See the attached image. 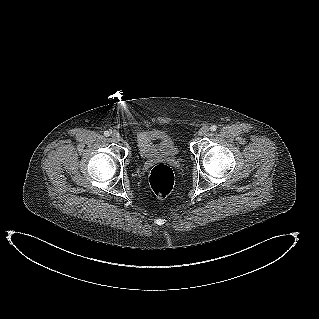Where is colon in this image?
Returning a JSON list of instances; mask_svg holds the SVG:
<instances>
[{
	"label": "colon",
	"instance_id": "5ec220e1",
	"mask_svg": "<svg viewBox=\"0 0 319 319\" xmlns=\"http://www.w3.org/2000/svg\"><path fill=\"white\" fill-rule=\"evenodd\" d=\"M174 179L173 170L165 164L154 166L149 175L151 189L156 196L161 198H165L171 193Z\"/></svg>",
	"mask_w": 319,
	"mask_h": 319
}]
</instances>
